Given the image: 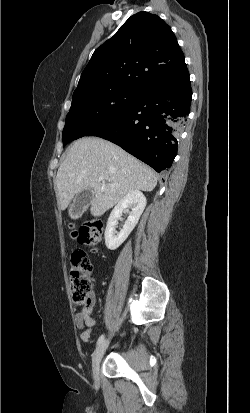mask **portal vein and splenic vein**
Segmentation results:
<instances>
[{
	"instance_id": "obj_1",
	"label": "portal vein and splenic vein",
	"mask_w": 250,
	"mask_h": 413,
	"mask_svg": "<svg viewBox=\"0 0 250 413\" xmlns=\"http://www.w3.org/2000/svg\"><path fill=\"white\" fill-rule=\"evenodd\" d=\"M99 180L103 182V185L105 184V183H104V178H103L102 176L99 177ZM111 186L114 187L115 184H111Z\"/></svg>"
}]
</instances>
